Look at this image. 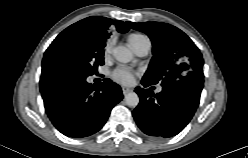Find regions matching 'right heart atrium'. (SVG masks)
I'll return each mask as SVG.
<instances>
[{"label":"right heart atrium","mask_w":248,"mask_h":158,"mask_svg":"<svg viewBox=\"0 0 248 158\" xmlns=\"http://www.w3.org/2000/svg\"><path fill=\"white\" fill-rule=\"evenodd\" d=\"M111 52V42H108L105 46V54L109 55Z\"/></svg>","instance_id":"d8ad5b80"}]
</instances>
